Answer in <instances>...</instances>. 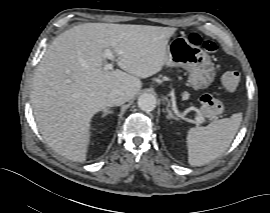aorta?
<instances>
[{"mask_svg": "<svg viewBox=\"0 0 270 213\" xmlns=\"http://www.w3.org/2000/svg\"><path fill=\"white\" fill-rule=\"evenodd\" d=\"M138 107L143 111H152L156 107V98L150 93H144L138 98Z\"/></svg>", "mask_w": 270, "mask_h": 213, "instance_id": "1", "label": "aorta"}]
</instances>
